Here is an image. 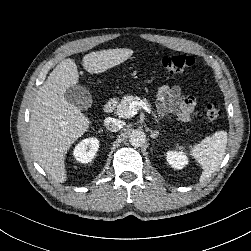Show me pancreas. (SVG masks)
I'll list each match as a JSON object with an SVG mask.
<instances>
[{
	"mask_svg": "<svg viewBox=\"0 0 251 251\" xmlns=\"http://www.w3.org/2000/svg\"><path fill=\"white\" fill-rule=\"evenodd\" d=\"M141 100L137 96H132V95H126L122 98L121 102L117 105V108L115 110V113L119 116H124V113L128 111L129 109V104L134 102V101H139ZM145 102H149L147 99H143Z\"/></svg>",
	"mask_w": 251,
	"mask_h": 251,
	"instance_id": "cf45deb5",
	"label": "pancreas"
}]
</instances>
